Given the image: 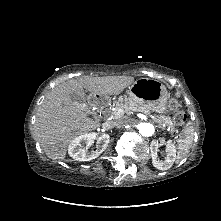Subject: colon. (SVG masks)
<instances>
[{
	"label": "colon",
	"mask_w": 221,
	"mask_h": 221,
	"mask_svg": "<svg viewBox=\"0 0 221 221\" xmlns=\"http://www.w3.org/2000/svg\"><path fill=\"white\" fill-rule=\"evenodd\" d=\"M169 106L172 110H174V117H175V122L177 124H182L186 120V115L183 111L178 109L177 102L172 99L170 100Z\"/></svg>",
	"instance_id": "obj_1"
}]
</instances>
